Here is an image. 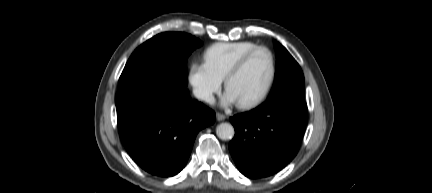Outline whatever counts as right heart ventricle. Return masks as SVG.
I'll use <instances>...</instances> for the list:
<instances>
[{
  "mask_svg": "<svg viewBox=\"0 0 432 193\" xmlns=\"http://www.w3.org/2000/svg\"><path fill=\"white\" fill-rule=\"evenodd\" d=\"M256 46L258 44L252 41L216 43L206 50L205 63L222 81L232 66Z\"/></svg>",
  "mask_w": 432,
  "mask_h": 193,
  "instance_id": "1",
  "label": "right heart ventricle"
}]
</instances>
